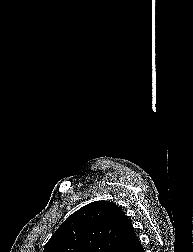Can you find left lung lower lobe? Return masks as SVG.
<instances>
[{"label": "left lung lower lobe", "instance_id": "1", "mask_svg": "<svg viewBox=\"0 0 193 252\" xmlns=\"http://www.w3.org/2000/svg\"><path fill=\"white\" fill-rule=\"evenodd\" d=\"M123 252H144V249L140 244L136 234H134L130 241L127 243Z\"/></svg>", "mask_w": 193, "mask_h": 252}]
</instances>
